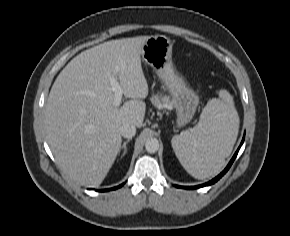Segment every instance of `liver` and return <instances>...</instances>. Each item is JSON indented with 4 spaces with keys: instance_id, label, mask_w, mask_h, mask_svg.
<instances>
[{
    "instance_id": "6515ba94",
    "label": "liver",
    "mask_w": 290,
    "mask_h": 236,
    "mask_svg": "<svg viewBox=\"0 0 290 236\" xmlns=\"http://www.w3.org/2000/svg\"><path fill=\"white\" fill-rule=\"evenodd\" d=\"M150 36L116 39L85 50L57 76L45 107L48 144L63 173L98 187L120 151V128L143 125L148 84L141 65ZM131 100L115 106L110 77Z\"/></svg>"
}]
</instances>
